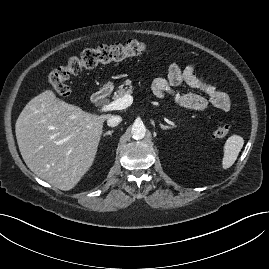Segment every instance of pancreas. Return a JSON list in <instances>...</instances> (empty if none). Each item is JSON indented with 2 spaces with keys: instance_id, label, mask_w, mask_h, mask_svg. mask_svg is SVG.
Returning <instances> with one entry per match:
<instances>
[{
  "instance_id": "cf45deb5",
  "label": "pancreas",
  "mask_w": 269,
  "mask_h": 269,
  "mask_svg": "<svg viewBox=\"0 0 269 269\" xmlns=\"http://www.w3.org/2000/svg\"><path fill=\"white\" fill-rule=\"evenodd\" d=\"M132 90H133V86L131 85V81L126 80L122 85L118 87L113 98L114 99L122 98L125 94L132 93Z\"/></svg>"
}]
</instances>
